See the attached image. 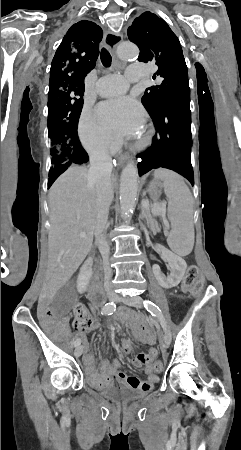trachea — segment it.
<instances>
[{"label":"trachea","mask_w":241,"mask_h":450,"mask_svg":"<svg viewBox=\"0 0 241 450\" xmlns=\"http://www.w3.org/2000/svg\"><path fill=\"white\" fill-rule=\"evenodd\" d=\"M100 57H101V62L104 65V67H110L112 57H111L110 53L108 52V50H106V48H102Z\"/></svg>","instance_id":"trachea-1"}]
</instances>
